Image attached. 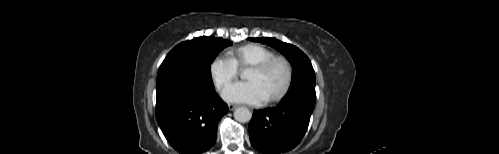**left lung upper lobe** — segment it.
<instances>
[{"mask_svg":"<svg viewBox=\"0 0 499 154\" xmlns=\"http://www.w3.org/2000/svg\"><path fill=\"white\" fill-rule=\"evenodd\" d=\"M253 41L268 44L280 51L293 68L291 90L298 87H315V72L309 58L297 47L275 38H252Z\"/></svg>","mask_w":499,"mask_h":154,"instance_id":"1","label":"left lung upper lobe"}]
</instances>
